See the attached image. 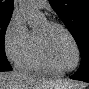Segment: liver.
<instances>
[{"label": "liver", "instance_id": "liver-1", "mask_svg": "<svg viewBox=\"0 0 89 89\" xmlns=\"http://www.w3.org/2000/svg\"><path fill=\"white\" fill-rule=\"evenodd\" d=\"M77 85L67 81H47L19 72L0 73L1 89H77Z\"/></svg>", "mask_w": 89, "mask_h": 89}]
</instances>
